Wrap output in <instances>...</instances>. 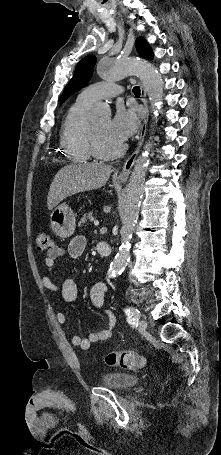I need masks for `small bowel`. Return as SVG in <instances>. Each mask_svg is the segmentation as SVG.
Masks as SVG:
<instances>
[{
  "mask_svg": "<svg viewBox=\"0 0 221 455\" xmlns=\"http://www.w3.org/2000/svg\"><path fill=\"white\" fill-rule=\"evenodd\" d=\"M86 246L87 241L81 235L75 236L70 241L67 248L53 246V248L47 252V256L44 259V264L48 272H52L55 260L62 257L77 259L84 253ZM41 282L46 289L52 292H59L63 300L67 303L74 302L77 297V286L72 278H67L61 285H57L51 280L49 275H42ZM106 291L107 287L105 283L101 281L96 282L91 287L90 301L94 308L103 309ZM104 313L108 321V327L103 330L91 332L87 338L73 335L71 337V342L74 346H77L82 350H88L93 343L105 341L111 337L112 331L116 325V316L110 310H105ZM55 319L60 325H65L66 323L65 315L61 311L55 312Z\"/></svg>",
  "mask_w": 221,
  "mask_h": 455,
  "instance_id": "c3829d8e",
  "label": "small bowel"
}]
</instances>
